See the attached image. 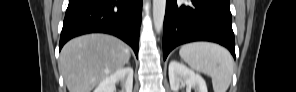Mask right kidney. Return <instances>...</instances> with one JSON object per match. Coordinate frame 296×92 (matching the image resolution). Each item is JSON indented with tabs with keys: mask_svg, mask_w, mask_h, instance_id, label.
I'll use <instances>...</instances> for the list:
<instances>
[{
	"mask_svg": "<svg viewBox=\"0 0 296 92\" xmlns=\"http://www.w3.org/2000/svg\"><path fill=\"white\" fill-rule=\"evenodd\" d=\"M119 81L123 85L121 92H132L133 69L131 67H125L114 71L99 83L94 92H115V85Z\"/></svg>",
	"mask_w": 296,
	"mask_h": 92,
	"instance_id": "obj_1",
	"label": "right kidney"
}]
</instances>
